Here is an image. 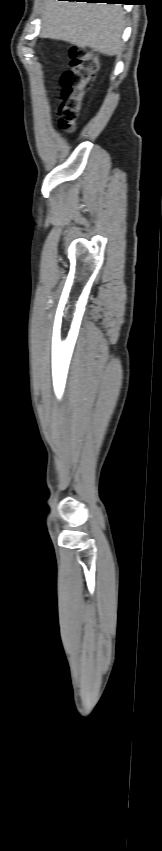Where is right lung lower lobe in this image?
<instances>
[{
  "label": "right lung lower lobe",
  "instance_id": "98d812e1",
  "mask_svg": "<svg viewBox=\"0 0 162 851\" xmlns=\"http://www.w3.org/2000/svg\"><path fill=\"white\" fill-rule=\"evenodd\" d=\"M68 1H86V2H96V3L103 2V3H108V4H119V3L127 4V1H130V0H68Z\"/></svg>",
  "mask_w": 162,
  "mask_h": 851
}]
</instances>
